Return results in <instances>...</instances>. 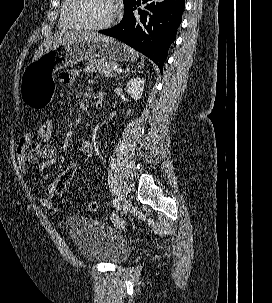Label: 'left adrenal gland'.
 Listing matches in <instances>:
<instances>
[{"mask_svg": "<svg viewBox=\"0 0 272 303\" xmlns=\"http://www.w3.org/2000/svg\"><path fill=\"white\" fill-rule=\"evenodd\" d=\"M129 74H130L129 71H128V72H125V75L120 76L118 79L124 78V77L128 76Z\"/></svg>", "mask_w": 272, "mask_h": 303, "instance_id": "left-adrenal-gland-1", "label": "left adrenal gland"}]
</instances>
